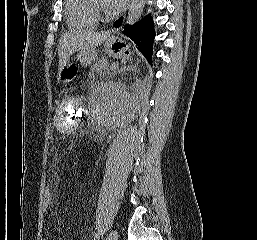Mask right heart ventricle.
<instances>
[{
  "label": "right heart ventricle",
  "instance_id": "right-heart-ventricle-1",
  "mask_svg": "<svg viewBox=\"0 0 257 240\" xmlns=\"http://www.w3.org/2000/svg\"><path fill=\"white\" fill-rule=\"evenodd\" d=\"M65 14L68 26L72 29L94 28L99 22L89 0H65Z\"/></svg>",
  "mask_w": 257,
  "mask_h": 240
}]
</instances>
